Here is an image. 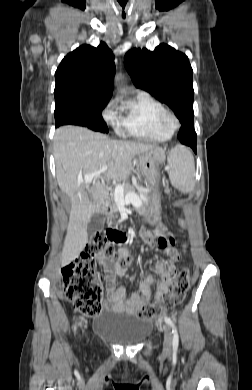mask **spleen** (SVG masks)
I'll return each instance as SVG.
<instances>
[{"instance_id": "obj_1", "label": "spleen", "mask_w": 252, "mask_h": 390, "mask_svg": "<svg viewBox=\"0 0 252 390\" xmlns=\"http://www.w3.org/2000/svg\"><path fill=\"white\" fill-rule=\"evenodd\" d=\"M167 162L171 184L183 193L192 192L195 187V165L191 152L177 146L169 152Z\"/></svg>"}]
</instances>
